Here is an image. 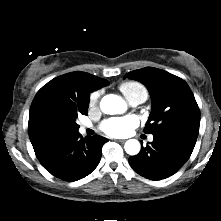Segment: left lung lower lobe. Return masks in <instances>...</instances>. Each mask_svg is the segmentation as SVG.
<instances>
[{"label":"left lung lower lobe","instance_id":"1","mask_svg":"<svg viewBox=\"0 0 221 221\" xmlns=\"http://www.w3.org/2000/svg\"><path fill=\"white\" fill-rule=\"evenodd\" d=\"M151 145L142 147L139 154L131 156V167L150 180H161L176 173L189 159L196 137L180 131L168 130L154 134Z\"/></svg>","mask_w":221,"mask_h":221}]
</instances>
